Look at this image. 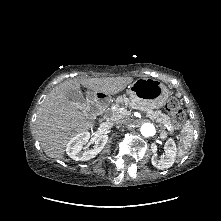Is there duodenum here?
Here are the masks:
<instances>
[{
    "mask_svg": "<svg viewBox=\"0 0 221 221\" xmlns=\"http://www.w3.org/2000/svg\"><path fill=\"white\" fill-rule=\"evenodd\" d=\"M84 97L87 99L88 106L94 107L107 100L108 91L106 89H99L96 96V90L94 88H86L84 90Z\"/></svg>",
    "mask_w": 221,
    "mask_h": 221,
    "instance_id": "410a0bca",
    "label": "duodenum"
}]
</instances>
